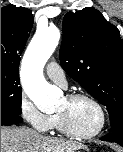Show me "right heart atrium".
Instances as JSON below:
<instances>
[{
    "mask_svg": "<svg viewBox=\"0 0 123 152\" xmlns=\"http://www.w3.org/2000/svg\"><path fill=\"white\" fill-rule=\"evenodd\" d=\"M19 110L22 118L35 130L47 132L53 127V115L40 111L23 93L20 97Z\"/></svg>",
    "mask_w": 123,
    "mask_h": 152,
    "instance_id": "obj_1",
    "label": "right heart atrium"
}]
</instances>
